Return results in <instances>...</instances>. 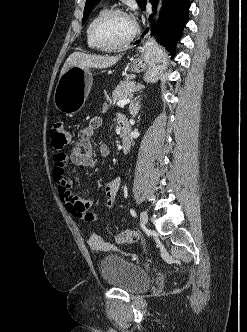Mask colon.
<instances>
[{"label":"colon","mask_w":247,"mask_h":332,"mask_svg":"<svg viewBox=\"0 0 247 332\" xmlns=\"http://www.w3.org/2000/svg\"><path fill=\"white\" fill-rule=\"evenodd\" d=\"M52 146L56 150L64 149L71 142L67 127L62 122H55L50 130ZM138 240V233L134 230H125L116 236L118 243H133Z\"/></svg>","instance_id":"5ec220e1"}]
</instances>
